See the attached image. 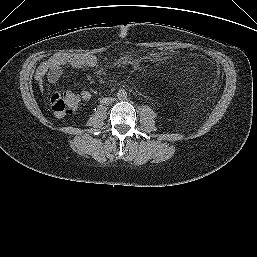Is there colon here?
I'll use <instances>...</instances> for the list:
<instances>
[{
  "label": "colon",
  "mask_w": 257,
  "mask_h": 257,
  "mask_svg": "<svg viewBox=\"0 0 257 257\" xmlns=\"http://www.w3.org/2000/svg\"><path fill=\"white\" fill-rule=\"evenodd\" d=\"M160 52L163 55H169L173 52V48L171 46H163L160 48ZM80 101V96L72 92H56L50 96V106L59 116L73 114L77 110Z\"/></svg>",
  "instance_id": "colon-1"
}]
</instances>
